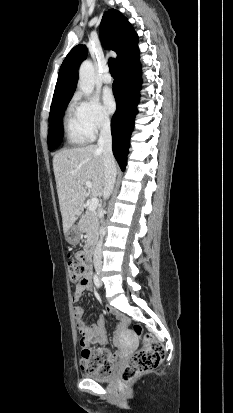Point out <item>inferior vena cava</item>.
Here are the masks:
<instances>
[{
	"label": "inferior vena cava",
	"mask_w": 233,
	"mask_h": 413,
	"mask_svg": "<svg viewBox=\"0 0 233 413\" xmlns=\"http://www.w3.org/2000/svg\"><path fill=\"white\" fill-rule=\"evenodd\" d=\"M98 147L103 152L104 166H105V183L103 197L104 199L109 198L111 195L115 180H116V162L112 153V136L110 128V120L108 117H104L101 121L100 136L98 139ZM101 235L104 234V229L100 230ZM102 236L96 245L93 257L94 267L97 271L101 270L102 267Z\"/></svg>",
	"instance_id": "602c4592"
}]
</instances>
